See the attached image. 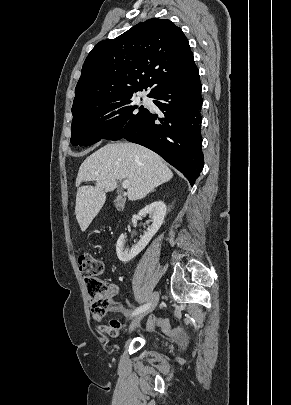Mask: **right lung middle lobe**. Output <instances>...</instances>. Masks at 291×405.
Listing matches in <instances>:
<instances>
[{
	"instance_id": "obj_1",
	"label": "right lung middle lobe",
	"mask_w": 291,
	"mask_h": 405,
	"mask_svg": "<svg viewBox=\"0 0 291 405\" xmlns=\"http://www.w3.org/2000/svg\"><path fill=\"white\" fill-rule=\"evenodd\" d=\"M131 98L132 96H125L95 103L72 113L71 143L75 146H89L101 139H122L149 112Z\"/></svg>"
}]
</instances>
